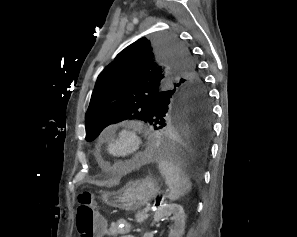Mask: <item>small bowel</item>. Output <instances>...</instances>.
Masks as SVG:
<instances>
[{"label": "small bowel", "mask_w": 297, "mask_h": 237, "mask_svg": "<svg viewBox=\"0 0 297 237\" xmlns=\"http://www.w3.org/2000/svg\"><path fill=\"white\" fill-rule=\"evenodd\" d=\"M116 235L119 237H134L130 234V224L125 219H117L110 226L102 223L101 232L98 237Z\"/></svg>", "instance_id": "small-bowel-1"}]
</instances>
